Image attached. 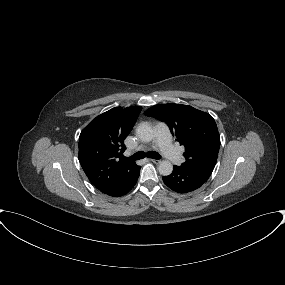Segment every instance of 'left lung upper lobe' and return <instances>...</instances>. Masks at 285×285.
<instances>
[{"instance_id":"5c2ea615","label":"left lung upper lobe","mask_w":285,"mask_h":285,"mask_svg":"<svg viewBox=\"0 0 285 285\" xmlns=\"http://www.w3.org/2000/svg\"><path fill=\"white\" fill-rule=\"evenodd\" d=\"M144 114L165 122L177 141L185 146L184 167H215L220 136L215 120L208 113L188 105L159 104Z\"/></svg>"}]
</instances>
